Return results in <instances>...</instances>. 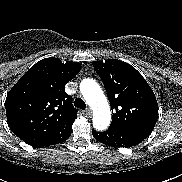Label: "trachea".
Instances as JSON below:
<instances>
[{
	"mask_svg": "<svg viewBox=\"0 0 182 182\" xmlns=\"http://www.w3.org/2000/svg\"><path fill=\"white\" fill-rule=\"evenodd\" d=\"M74 106L76 108H79V109H82V110L86 109V104H85V102L81 98L75 99Z\"/></svg>",
	"mask_w": 182,
	"mask_h": 182,
	"instance_id": "obj_1",
	"label": "trachea"
}]
</instances>
